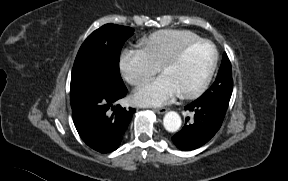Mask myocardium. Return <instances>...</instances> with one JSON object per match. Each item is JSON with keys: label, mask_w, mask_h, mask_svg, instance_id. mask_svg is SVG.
I'll return each mask as SVG.
<instances>
[{"label": "myocardium", "mask_w": 288, "mask_h": 181, "mask_svg": "<svg viewBox=\"0 0 288 181\" xmlns=\"http://www.w3.org/2000/svg\"><path fill=\"white\" fill-rule=\"evenodd\" d=\"M200 44H209L213 48L215 56H214V61H213L212 67H211L209 73L207 74V76L205 77V79L198 86H196L195 88L190 89L188 91L178 93L181 98L187 99V98H192V97L198 96L202 92H204L205 89L208 87V85L210 84V82H211V80H212V78H213V76L217 70L218 63H219V50H218L217 46L211 40L200 38L198 40L190 42V43L184 45L183 47H181L174 55H172L170 58L166 59L159 66V72L162 73L164 70L177 65L192 48H194Z\"/></svg>", "instance_id": "myocardium-1"}]
</instances>
